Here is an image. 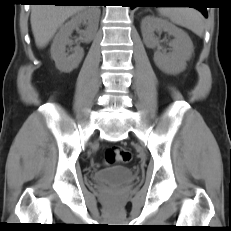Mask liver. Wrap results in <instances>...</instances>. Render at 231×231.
<instances>
[{
	"label": "liver",
	"instance_id": "obj_1",
	"mask_svg": "<svg viewBox=\"0 0 231 231\" xmlns=\"http://www.w3.org/2000/svg\"><path fill=\"white\" fill-rule=\"evenodd\" d=\"M85 9L81 5H33L30 22L36 45L45 47L69 17Z\"/></svg>",
	"mask_w": 231,
	"mask_h": 231
}]
</instances>
